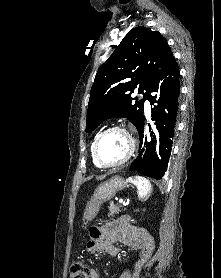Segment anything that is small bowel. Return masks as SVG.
<instances>
[{"label": "small bowel", "instance_id": "small-bowel-1", "mask_svg": "<svg viewBox=\"0 0 221 278\" xmlns=\"http://www.w3.org/2000/svg\"><path fill=\"white\" fill-rule=\"evenodd\" d=\"M116 243L141 248L142 256L146 257L152 246V239L144 229L137 227L129 219L120 217L94 228L87 246L92 252L117 256L121 250L115 245ZM138 267L139 264L136 265L132 278H137ZM90 278H99L97 270L90 269Z\"/></svg>", "mask_w": 221, "mask_h": 278}]
</instances>
